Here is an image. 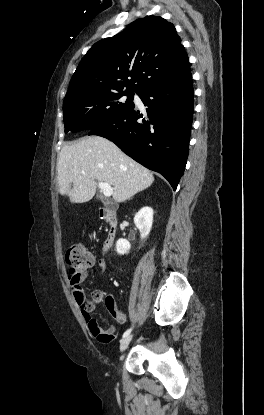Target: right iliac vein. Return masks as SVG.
<instances>
[{
	"instance_id": "right-iliac-vein-1",
	"label": "right iliac vein",
	"mask_w": 264,
	"mask_h": 415,
	"mask_svg": "<svg viewBox=\"0 0 264 415\" xmlns=\"http://www.w3.org/2000/svg\"><path fill=\"white\" fill-rule=\"evenodd\" d=\"M132 339V335H128L127 337L123 338L120 342V352H123L129 345Z\"/></svg>"
}]
</instances>
